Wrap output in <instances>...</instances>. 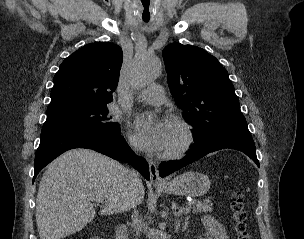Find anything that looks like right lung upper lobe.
I'll return each mask as SVG.
<instances>
[{
  "label": "right lung upper lobe",
  "instance_id": "cb5924a9",
  "mask_svg": "<svg viewBox=\"0 0 304 239\" xmlns=\"http://www.w3.org/2000/svg\"><path fill=\"white\" fill-rule=\"evenodd\" d=\"M122 60V49L109 42L87 44L71 54L54 76L47 115L112 102Z\"/></svg>",
  "mask_w": 304,
  "mask_h": 239
}]
</instances>
